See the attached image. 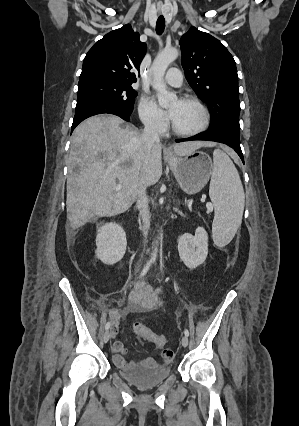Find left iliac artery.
Instances as JSON below:
<instances>
[{
	"mask_svg": "<svg viewBox=\"0 0 299 426\" xmlns=\"http://www.w3.org/2000/svg\"><path fill=\"white\" fill-rule=\"evenodd\" d=\"M184 334H185L186 336H189V331H188L187 329H185V330H184Z\"/></svg>",
	"mask_w": 299,
	"mask_h": 426,
	"instance_id": "obj_1",
	"label": "left iliac artery"
}]
</instances>
